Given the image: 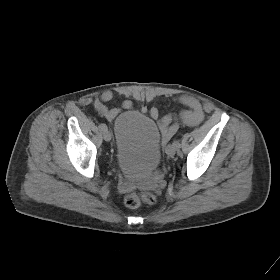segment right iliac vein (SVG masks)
Instances as JSON below:
<instances>
[{
	"mask_svg": "<svg viewBox=\"0 0 280 280\" xmlns=\"http://www.w3.org/2000/svg\"><path fill=\"white\" fill-rule=\"evenodd\" d=\"M103 138H104V140L107 141V142L110 141L111 138H112L111 133H110L108 130H105V131L103 132Z\"/></svg>",
	"mask_w": 280,
	"mask_h": 280,
	"instance_id": "1",
	"label": "right iliac vein"
}]
</instances>
